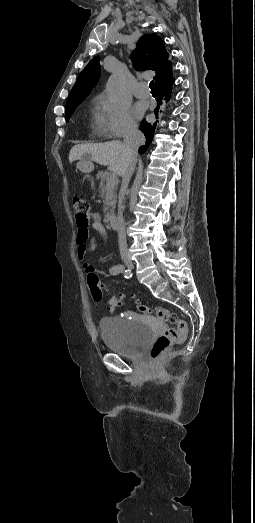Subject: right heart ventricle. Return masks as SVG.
I'll return each mask as SVG.
<instances>
[{
  "instance_id": "right-heart-ventricle-1",
  "label": "right heart ventricle",
  "mask_w": 255,
  "mask_h": 523,
  "mask_svg": "<svg viewBox=\"0 0 255 523\" xmlns=\"http://www.w3.org/2000/svg\"><path fill=\"white\" fill-rule=\"evenodd\" d=\"M92 128L99 138L108 135V121L103 109L97 108L91 120Z\"/></svg>"
}]
</instances>
